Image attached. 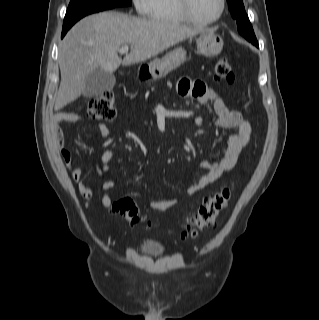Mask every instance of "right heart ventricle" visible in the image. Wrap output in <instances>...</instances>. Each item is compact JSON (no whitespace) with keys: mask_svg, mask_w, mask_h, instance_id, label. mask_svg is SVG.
Returning a JSON list of instances; mask_svg holds the SVG:
<instances>
[{"mask_svg":"<svg viewBox=\"0 0 319 320\" xmlns=\"http://www.w3.org/2000/svg\"><path fill=\"white\" fill-rule=\"evenodd\" d=\"M148 14L152 20L161 23H189L179 8L178 0H154Z\"/></svg>","mask_w":319,"mask_h":320,"instance_id":"e07e8e85","label":"right heart ventricle"}]
</instances>
